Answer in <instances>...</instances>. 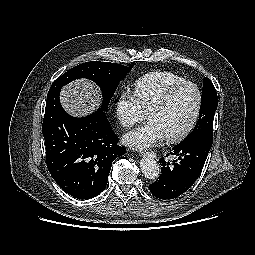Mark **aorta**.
<instances>
[{
    "label": "aorta",
    "instance_id": "obj_1",
    "mask_svg": "<svg viewBox=\"0 0 255 255\" xmlns=\"http://www.w3.org/2000/svg\"><path fill=\"white\" fill-rule=\"evenodd\" d=\"M141 171L144 176L156 180L160 175V166L152 156H146L140 161Z\"/></svg>",
    "mask_w": 255,
    "mask_h": 255
}]
</instances>
